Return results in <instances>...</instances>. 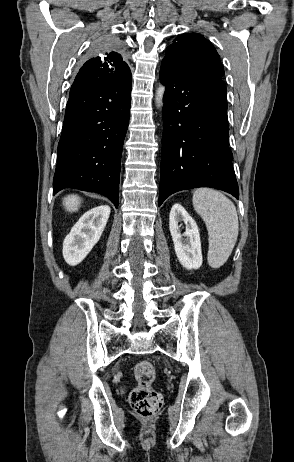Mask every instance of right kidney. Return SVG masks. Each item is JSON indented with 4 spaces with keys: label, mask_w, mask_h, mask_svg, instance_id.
I'll list each match as a JSON object with an SVG mask.
<instances>
[{
    "label": "right kidney",
    "mask_w": 294,
    "mask_h": 462,
    "mask_svg": "<svg viewBox=\"0 0 294 462\" xmlns=\"http://www.w3.org/2000/svg\"><path fill=\"white\" fill-rule=\"evenodd\" d=\"M110 211L108 205H101L80 217L63 242L62 252L67 264L76 266L89 254L104 231Z\"/></svg>",
    "instance_id": "obj_1"
}]
</instances>
